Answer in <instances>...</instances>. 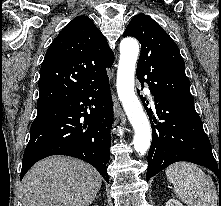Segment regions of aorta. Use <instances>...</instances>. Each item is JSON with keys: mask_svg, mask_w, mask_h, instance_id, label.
<instances>
[{"mask_svg": "<svg viewBox=\"0 0 221 206\" xmlns=\"http://www.w3.org/2000/svg\"><path fill=\"white\" fill-rule=\"evenodd\" d=\"M139 55V44L133 38L120 43V59L117 70V92L125 113L135 131L133 145L139 155L150 147L151 127L142 105L134 92V75Z\"/></svg>", "mask_w": 221, "mask_h": 206, "instance_id": "1", "label": "aorta"}]
</instances>
